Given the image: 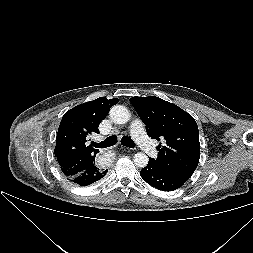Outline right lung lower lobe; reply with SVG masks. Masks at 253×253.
I'll use <instances>...</instances> for the list:
<instances>
[{"mask_svg": "<svg viewBox=\"0 0 253 253\" xmlns=\"http://www.w3.org/2000/svg\"><path fill=\"white\" fill-rule=\"evenodd\" d=\"M108 170H101L95 164L84 172L70 177L69 180L78 186H88L103 178Z\"/></svg>", "mask_w": 253, "mask_h": 253, "instance_id": "right-lung-lower-lobe-1", "label": "right lung lower lobe"}]
</instances>
